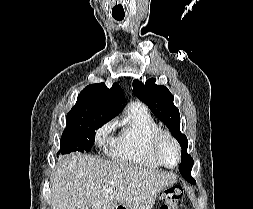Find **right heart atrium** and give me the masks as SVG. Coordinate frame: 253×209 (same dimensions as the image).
<instances>
[{
    "mask_svg": "<svg viewBox=\"0 0 253 209\" xmlns=\"http://www.w3.org/2000/svg\"><path fill=\"white\" fill-rule=\"evenodd\" d=\"M110 132H111V125L109 123H105L101 127H99L95 133L96 143L100 146L110 144L112 141L110 137Z\"/></svg>",
    "mask_w": 253,
    "mask_h": 209,
    "instance_id": "d8ad5b80",
    "label": "right heart atrium"
}]
</instances>
